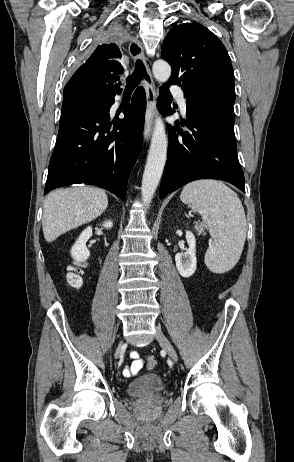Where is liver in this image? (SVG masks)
<instances>
[{
	"mask_svg": "<svg viewBox=\"0 0 294 462\" xmlns=\"http://www.w3.org/2000/svg\"><path fill=\"white\" fill-rule=\"evenodd\" d=\"M108 206L105 191L94 187H74L51 192L44 201L42 228L47 242L91 222Z\"/></svg>",
	"mask_w": 294,
	"mask_h": 462,
	"instance_id": "liver-1",
	"label": "liver"
}]
</instances>
